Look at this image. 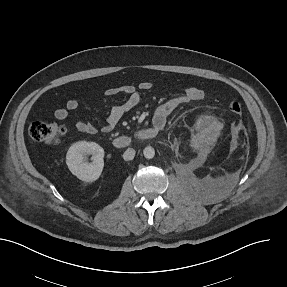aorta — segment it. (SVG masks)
<instances>
[{
	"label": "aorta",
	"instance_id": "762f6f07",
	"mask_svg": "<svg viewBox=\"0 0 287 287\" xmlns=\"http://www.w3.org/2000/svg\"><path fill=\"white\" fill-rule=\"evenodd\" d=\"M143 154H144L145 158L152 159L154 157V155H155V150H154L153 147L147 146L143 150Z\"/></svg>",
	"mask_w": 287,
	"mask_h": 287
}]
</instances>
